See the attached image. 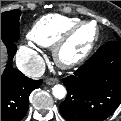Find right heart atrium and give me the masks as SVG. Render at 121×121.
Listing matches in <instances>:
<instances>
[{
    "label": "right heart atrium",
    "instance_id": "d8ad5b80",
    "mask_svg": "<svg viewBox=\"0 0 121 121\" xmlns=\"http://www.w3.org/2000/svg\"><path fill=\"white\" fill-rule=\"evenodd\" d=\"M17 63L23 71L33 72L38 69L41 61L33 48L22 45L18 52Z\"/></svg>",
    "mask_w": 121,
    "mask_h": 121
}]
</instances>
